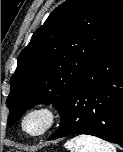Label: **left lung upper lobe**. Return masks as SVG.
I'll use <instances>...</instances> for the list:
<instances>
[{
  "instance_id": "1",
  "label": "left lung upper lobe",
  "mask_w": 123,
  "mask_h": 152,
  "mask_svg": "<svg viewBox=\"0 0 123 152\" xmlns=\"http://www.w3.org/2000/svg\"><path fill=\"white\" fill-rule=\"evenodd\" d=\"M121 9L119 0H67L49 15L18 57L9 125L36 104L61 112Z\"/></svg>"
}]
</instances>
